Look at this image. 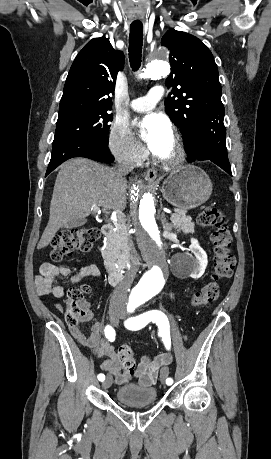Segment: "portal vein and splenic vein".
Instances as JSON below:
<instances>
[{
	"label": "portal vein and splenic vein",
	"mask_w": 271,
	"mask_h": 459,
	"mask_svg": "<svg viewBox=\"0 0 271 459\" xmlns=\"http://www.w3.org/2000/svg\"><path fill=\"white\" fill-rule=\"evenodd\" d=\"M92 212H97V214H101L102 210H100V208H92ZM104 214H109V212H104ZM178 217L179 215L176 213V212H172L171 214H169V217Z\"/></svg>",
	"instance_id": "obj_1"
}]
</instances>
